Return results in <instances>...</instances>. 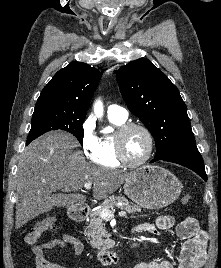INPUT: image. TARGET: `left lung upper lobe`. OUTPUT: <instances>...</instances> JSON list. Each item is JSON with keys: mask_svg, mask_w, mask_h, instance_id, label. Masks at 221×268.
<instances>
[{"mask_svg": "<svg viewBox=\"0 0 221 268\" xmlns=\"http://www.w3.org/2000/svg\"><path fill=\"white\" fill-rule=\"evenodd\" d=\"M116 77L129 110L154 137V159L196 144L179 90L150 60L140 58L122 66Z\"/></svg>", "mask_w": 221, "mask_h": 268, "instance_id": "left-lung-upper-lobe-1", "label": "left lung upper lobe"}]
</instances>
